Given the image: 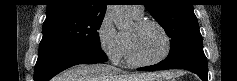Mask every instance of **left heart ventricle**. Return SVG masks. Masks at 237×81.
I'll list each match as a JSON object with an SVG mask.
<instances>
[{
  "mask_svg": "<svg viewBox=\"0 0 237 81\" xmlns=\"http://www.w3.org/2000/svg\"><path fill=\"white\" fill-rule=\"evenodd\" d=\"M127 35L131 38L136 54L143 60L157 59L165 51V39L155 26L149 25L144 28H137L133 24Z\"/></svg>",
  "mask_w": 237,
  "mask_h": 81,
  "instance_id": "b2bd125f",
  "label": "left heart ventricle"
}]
</instances>
